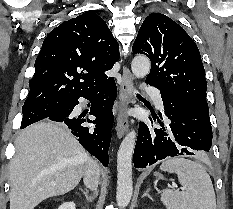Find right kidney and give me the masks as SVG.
<instances>
[{"mask_svg": "<svg viewBox=\"0 0 233 209\" xmlns=\"http://www.w3.org/2000/svg\"><path fill=\"white\" fill-rule=\"evenodd\" d=\"M58 209H76V207L73 202H66L62 204Z\"/></svg>", "mask_w": 233, "mask_h": 209, "instance_id": "1", "label": "right kidney"}]
</instances>
